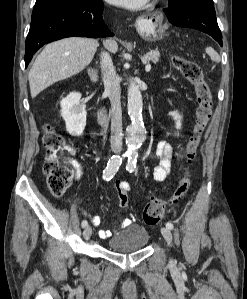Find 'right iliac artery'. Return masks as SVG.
Instances as JSON below:
<instances>
[{"label": "right iliac artery", "mask_w": 247, "mask_h": 299, "mask_svg": "<svg viewBox=\"0 0 247 299\" xmlns=\"http://www.w3.org/2000/svg\"><path fill=\"white\" fill-rule=\"evenodd\" d=\"M126 156L125 155H116V156H113L107 163V167L106 169L103 171V179L106 180V181H109L113 178V176L116 174V172L118 171L119 169V166L121 165L122 163V160H123V157ZM87 221L86 220H83L82 223H81V226L83 228H85L87 226Z\"/></svg>", "instance_id": "82829eb1"}]
</instances>
